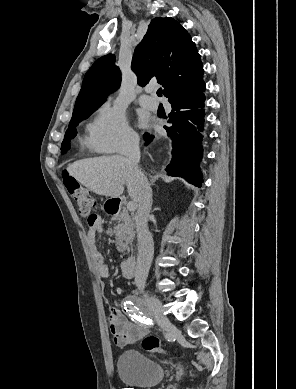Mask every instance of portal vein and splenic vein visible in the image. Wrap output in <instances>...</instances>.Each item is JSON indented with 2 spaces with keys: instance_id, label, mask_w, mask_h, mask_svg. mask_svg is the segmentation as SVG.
Returning a JSON list of instances; mask_svg holds the SVG:
<instances>
[{
  "instance_id": "portal-vein-and-splenic-vein-1",
  "label": "portal vein and splenic vein",
  "mask_w": 296,
  "mask_h": 389,
  "mask_svg": "<svg viewBox=\"0 0 296 389\" xmlns=\"http://www.w3.org/2000/svg\"><path fill=\"white\" fill-rule=\"evenodd\" d=\"M137 208V204L134 201H130L127 204V209L129 211H134Z\"/></svg>"
}]
</instances>
